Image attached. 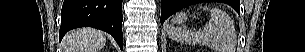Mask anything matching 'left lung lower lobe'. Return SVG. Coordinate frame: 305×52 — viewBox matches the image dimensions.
Here are the masks:
<instances>
[{"label": "left lung lower lobe", "mask_w": 305, "mask_h": 52, "mask_svg": "<svg viewBox=\"0 0 305 52\" xmlns=\"http://www.w3.org/2000/svg\"><path fill=\"white\" fill-rule=\"evenodd\" d=\"M203 2H218L217 0H162L161 3V24L164 21L174 14L176 11L180 10L183 7L203 3ZM237 12H239V1L232 6Z\"/></svg>", "instance_id": "0a47b994"}]
</instances>
